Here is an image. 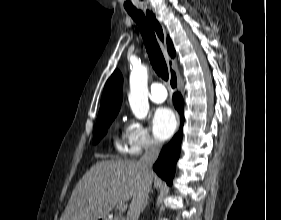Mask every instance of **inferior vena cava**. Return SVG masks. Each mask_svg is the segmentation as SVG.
<instances>
[{"label": "inferior vena cava", "instance_id": "obj_1", "mask_svg": "<svg viewBox=\"0 0 281 220\" xmlns=\"http://www.w3.org/2000/svg\"><path fill=\"white\" fill-rule=\"evenodd\" d=\"M161 150V143L152 140L145 150L144 155L138 161L143 171V179L132 197L126 220H138L142 207L148 198V193L152 184V166L156 161Z\"/></svg>", "mask_w": 281, "mask_h": 220}]
</instances>
